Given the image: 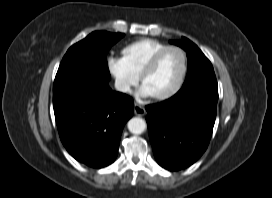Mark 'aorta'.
I'll use <instances>...</instances> for the list:
<instances>
[{
    "label": "aorta",
    "mask_w": 272,
    "mask_h": 198,
    "mask_svg": "<svg viewBox=\"0 0 272 198\" xmlns=\"http://www.w3.org/2000/svg\"><path fill=\"white\" fill-rule=\"evenodd\" d=\"M146 127V122L142 118L134 117L128 121V130L132 134H141L145 131Z\"/></svg>",
    "instance_id": "1"
}]
</instances>
